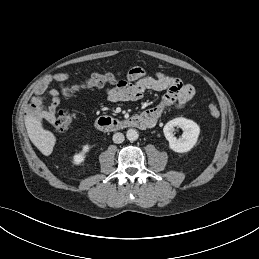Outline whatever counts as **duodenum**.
I'll return each instance as SVG.
<instances>
[{"mask_svg": "<svg viewBox=\"0 0 259 259\" xmlns=\"http://www.w3.org/2000/svg\"><path fill=\"white\" fill-rule=\"evenodd\" d=\"M153 121L144 114L133 116L129 119L120 121L111 117L102 116L99 117L95 126L100 131L110 132L118 131L120 129L135 127L139 129H147L153 125Z\"/></svg>", "mask_w": 259, "mask_h": 259, "instance_id": "obj_1", "label": "duodenum"}]
</instances>
